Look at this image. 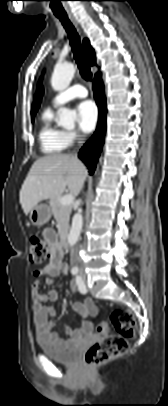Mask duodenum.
<instances>
[{"label":"duodenum","mask_w":168,"mask_h":406,"mask_svg":"<svg viewBox=\"0 0 168 406\" xmlns=\"http://www.w3.org/2000/svg\"><path fill=\"white\" fill-rule=\"evenodd\" d=\"M60 247L61 249H66L68 247V234L63 233L60 237Z\"/></svg>","instance_id":"duodenum-1"}]
</instances>
